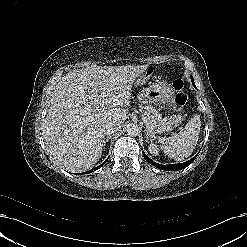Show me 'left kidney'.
<instances>
[{
	"instance_id": "left-kidney-1",
	"label": "left kidney",
	"mask_w": 247,
	"mask_h": 247,
	"mask_svg": "<svg viewBox=\"0 0 247 247\" xmlns=\"http://www.w3.org/2000/svg\"><path fill=\"white\" fill-rule=\"evenodd\" d=\"M148 151L151 155L153 156H158L159 155V149L156 144L151 143L148 147Z\"/></svg>"
}]
</instances>
